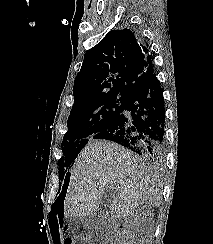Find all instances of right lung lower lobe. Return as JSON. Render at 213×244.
<instances>
[{
  "label": "right lung lower lobe",
  "mask_w": 213,
  "mask_h": 244,
  "mask_svg": "<svg viewBox=\"0 0 213 244\" xmlns=\"http://www.w3.org/2000/svg\"><path fill=\"white\" fill-rule=\"evenodd\" d=\"M165 107L159 80L153 74L127 102L124 111L94 139L114 141L140 156L159 162L164 156ZM69 176L64 179L65 191Z\"/></svg>",
  "instance_id": "1"
}]
</instances>
